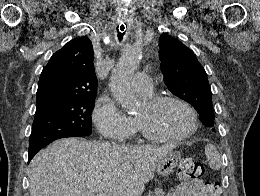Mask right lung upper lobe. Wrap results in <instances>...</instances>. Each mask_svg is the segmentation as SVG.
<instances>
[{"mask_svg": "<svg viewBox=\"0 0 260 196\" xmlns=\"http://www.w3.org/2000/svg\"><path fill=\"white\" fill-rule=\"evenodd\" d=\"M87 93L97 94V78L92 43L87 37H81L57 51L43 69L37 90V106Z\"/></svg>", "mask_w": 260, "mask_h": 196, "instance_id": "cb5924a9", "label": "right lung upper lobe"}]
</instances>
